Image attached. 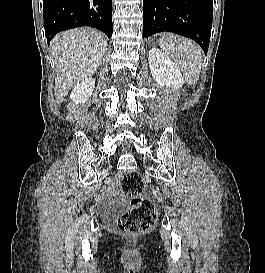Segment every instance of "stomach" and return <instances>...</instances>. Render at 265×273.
I'll return each instance as SVG.
<instances>
[{"label": "stomach", "mask_w": 265, "mask_h": 273, "mask_svg": "<svg viewBox=\"0 0 265 273\" xmlns=\"http://www.w3.org/2000/svg\"><path fill=\"white\" fill-rule=\"evenodd\" d=\"M154 44H155V45H160V44H161V41H160V40H155V41H154Z\"/></svg>", "instance_id": "0dacf381"}]
</instances>
